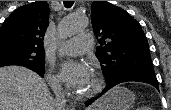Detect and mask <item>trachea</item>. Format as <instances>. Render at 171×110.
<instances>
[{
    "instance_id": "1",
    "label": "trachea",
    "mask_w": 171,
    "mask_h": 110,
    "mask_svg": "<svg viewBox=\"0 0 171 110\" xmlns=\"http://www.w3.org/2000/svg\"><path fill=\"white\" fill-rule=\"evenodd\" d=\"M63 3L65 7L70 8L73 5L74 1H63Z\"/></svg>"
}]
</instances>
